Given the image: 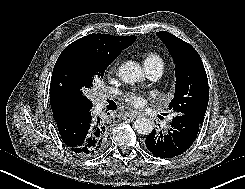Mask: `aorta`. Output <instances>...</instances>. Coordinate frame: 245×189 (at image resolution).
Returning a JSON list of instances; mask_svg holds the SVG:
<instances>
[{
    "label": "aorta",
    "instance_id": "aorta-1",
    "mask_svg": "<svg viewBox=\"0 0 245 189\" xmlns=\"http://www.w3.org/2000/svg\"><path fill=\"white\" fill-rule=\"evenodd\" d=\"M119 77L125 83L134 84L141 81L144 77V74L138 63L128 61L120 66ZM134 130L140 135H148L153 130V123L148 118H138L134 122Z\"/></svg>",
    "mask_w": 245,
    "mask_h": 189
}]
</instances>
